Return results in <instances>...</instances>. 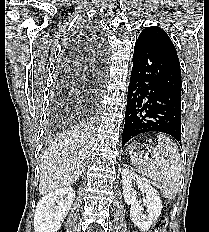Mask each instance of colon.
Instances as JSON below:
<instances>
[{"mask_svg":"<svg viewBox=\"0 0 209 232\" xmlns=\"http://www.w3.org/2000/svg\"><path fill=\"white\" fill-rule=\"evenodd\" d=\"M167 218L166 217H162L158 220L157 224H156V230L155 232H165L164 228L167 225Z\"/></svg>","mask_w":209,"mask_h":232,"instance_id":"obj_1","label":"colon"}]
</instances>
